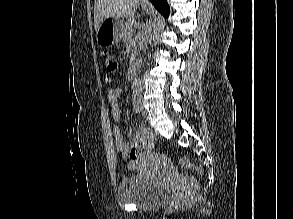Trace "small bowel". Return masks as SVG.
<instances>
[{
	"instance_id": "obj_1",
	"label": "small bowel",
	"mask_w": 293,
	"mask_h": 219,
	"mask_svg": "<svg viewBox=\"0 0 293 219\" xmlns=\"http://www.w3.org/2000/svg\"><path fill=\"white\" fill-rule=\"evenodd\" d=\"M122 91L120 88H114L109 91L108 99L111 103V111L113 119L118 122L121 118V106L119 100L121 98ZM147 129L144 126H140L139 130L132 134V139L130 142H125L123 140L122 132L118 126L113 128V135L115 139V145L118 151L123 157H128L130 150L133 147L138 146L143 141L144 132Z\"/></svg>"
}]
</instances>
